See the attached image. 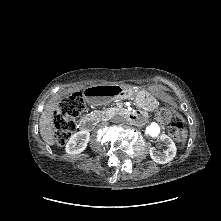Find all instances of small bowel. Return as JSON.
Wrapping results in <instances>:
<instances>
[{"label":"small bowel","instance_id":"obj_1","mask_svg":"<svg viewBox=\"0 0 221 221\" xmlns=\"http://www.w3.org/2000/svg\"><path fill=\"white\" fill-rule=\"evenodd\" d=\"M162 99H163V101H165L166 103H169V104L172 103L171 97H169V96H167V95L163 96Z\"/></svg>","mask_w":221,"mask_h":221}]
</instances>
